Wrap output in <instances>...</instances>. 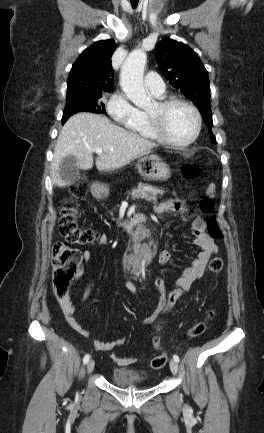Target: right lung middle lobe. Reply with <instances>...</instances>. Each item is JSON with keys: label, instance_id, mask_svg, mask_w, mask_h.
Segmentation results:
<instances>
[{"label": "right lung middle lobe", "instance_id": "right-lung-middle-lobe-1", "mask_svg": "<svg viewBox=\"0 0 264 433\" xmlns=\"http://www.w3.org/2000/svg\"><path fill=\"white\" fill-rule=\"evenodd\" d=\"M105 92H111V90L67 97L62 124H64L70 116L78 112L103 113L105 111V105L101 101V98Z\"/></svg>", "mask_w": 264, "mask_h": 433}]
</instances>
